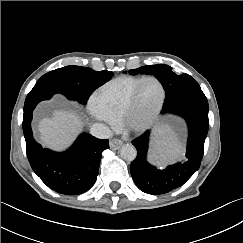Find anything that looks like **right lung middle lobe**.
<instances>
[{"instance_id": "dd1d6c3e", "label": "right lung middle lobe", "mask_w": 243, "mask_h": 243, "mask_svg": "<svg viewBox=\"0 0 243 243\" xmlns=\"http://www.w3.org/2000/svg\"><path fill=\"white\" fill-rule=\"evenodd\" d=\"M112 76L113 73L107 70L94 71L91 68L70 65L43 75L32 90L61 93L68 99L86 104L90 95Z\"/></svg>"}]
</instances>
